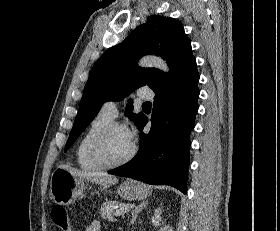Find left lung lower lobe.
<instances>
[{
  "instance_id": "1",
  "label": "left lung lower lobe",
  "mask_w": 280,
  "mask_h": 231,
  "mask_svg": "<svg viewBox=\"0 0 280 231\" xmlns=\"http://www.w3.org/2000/svg\"><path fill=\"white\" fill-rule=\"evenodd\" d=\"M199 73L187 72L176 82L155 92L151 130L140 134L137 155L109 174L130 177L152 185H170L186 193L190 132L198 111ZM148 122L141 114L140 131Z\"/></svg>"
}]
</instances>
